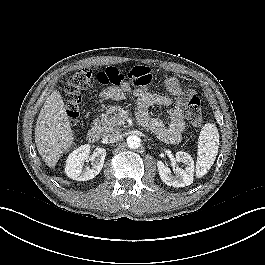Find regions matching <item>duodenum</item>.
I'll list each match as a JSON object with an SVG mask.
<instances>
[{
  "mask_svg": "<svg viewBox=\"0 0 265 265\" xmlns=\"http://www.w3.org/2000/svg\"><path fill=\"white\" fill-rule=\"evenodd\" d=\"M95 120H96V116H93V118H92V126H91V128L89 129V131L87 133V139L91 143H96L100 139V128L95 123Z\"/></svg>",
  "mask_w": 265,
  "mask_h": 265,
  "instance_id": "duodenum-1",
  "label": "duodenum"
}]
</instances>
